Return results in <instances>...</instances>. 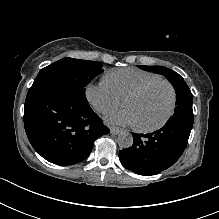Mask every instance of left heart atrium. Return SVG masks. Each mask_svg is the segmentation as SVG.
Instances as JSON below:
<instances>
[{"label":"left heart atrium","mask_w":219,"mask_h":219,"mask_svg":"<svg viewBox=\"0 0 219 219\" xmlns=\"http://www.w3.org/2000/svg\"><path fill=\"white\" fill-rule=\"evenodd\" d=\"M104 120L107 124L110 125H137V119L135 114L129 110L125 109L119 112L109 113L104 117Z\"/></svg>","instance_id":"1"}]
</instances>
